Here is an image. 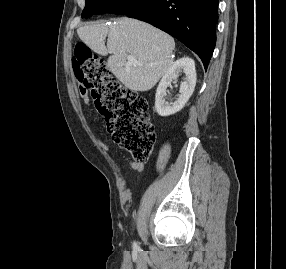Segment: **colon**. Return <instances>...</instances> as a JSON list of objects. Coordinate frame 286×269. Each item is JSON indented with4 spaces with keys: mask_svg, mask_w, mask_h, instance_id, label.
<instances>
[{
    "mask_svg": "<svg viewBox=\"0 0 286 269\" xmlns=\"http://www.w3.org/2000/svg\"><path fill=\"white\" fill-rule=\"evenodd\" d=\"M72 54L76 78L89 90L112 140L135 161H148L156 139L148 119V100L112 77L106 64L85 43L77 42Z\"/></svg>",
    "mask_w": 286,
    "mask_h": 269,
    "instance_id": "5ec220e1",
    "label": "colon"
}]
</instances>
